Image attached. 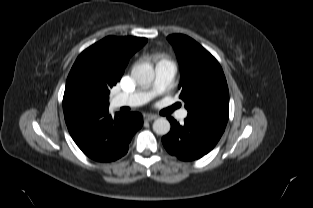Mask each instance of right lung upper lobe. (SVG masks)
<instances>
[{"mask_svg":"<svg viewBox=\"0 0 313 208\" xmlns=\"http://www.w3.org/2000/svg\"><path fill=\"white\" fill-rule=\"evenodd\" d=\"M146 38L108 36L85 49L66 82L63 108L109 106V89L120 81L130 57Z\"/></svg>","mask_w":313,"mask_h":208,"instance_id":"right-lung-upper-lobe-1","label":"right lung upper lobe"}]
</instances>
